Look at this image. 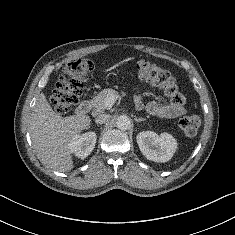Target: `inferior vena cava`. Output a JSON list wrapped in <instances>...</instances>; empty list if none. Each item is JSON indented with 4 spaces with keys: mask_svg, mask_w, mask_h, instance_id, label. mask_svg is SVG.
I'll list each match as a JSON object with an SVG mask.
<instances>
[{
    "mask_svg": "<svg viewBox=\"0 0 235 235\" xmlns=\"http://www.w3.org/2000/svg\"><path fill=\"white\" fill-rule=\"evenodd\" d=\"M110 119V115L107 114H100L96 117L95 122L97 124H103L107 122Z\"/></svg>",
    "mask_w": 235,
    "mask_h": 235,
    "instance_id": "1",
    "label": "inferior vena cava"
}]
</instances>
